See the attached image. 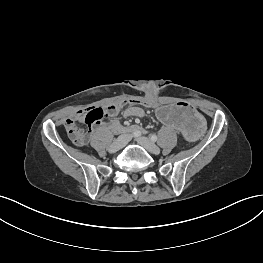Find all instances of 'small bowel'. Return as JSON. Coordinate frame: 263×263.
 <instances>
[{
  "label": "small bowel",
  "instance_id": "c3829d8e",
  "mask_svg": "<svg viewBox=\"0 0 263 263\" xmlns=\"http://www.w3.org/2000/svg\"><path fill=\"white\" fill-rule=\"evenodd\" d=\"M121 110V106L116 109V111L111 116H116ZM84 114V111H79L74 115V118L77 120H80ZM123 115L125 117H142L144 115V110L136 105H129L126 108L123 109Z\"/></svg>",
  "mask_w": 263,
  "mask_h": 263
}]
</instances>
